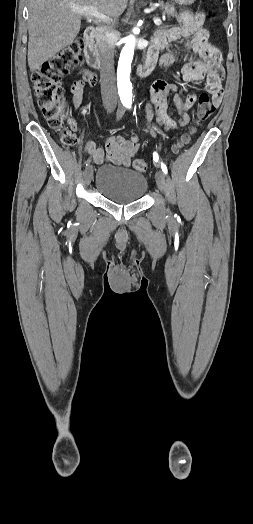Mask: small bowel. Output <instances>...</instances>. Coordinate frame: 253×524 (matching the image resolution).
<instances>
[{
    "mask_svg": "<svg viewBox=\"0 0 253 524\" xmlns=\"http://www.w3.org/2000/svg\"><path fill=\"white\" fill-rule=\"evenodd\" d=\"M205 15L196 14L185 15L180 20L179 26H173L159 30L153 37V44L148 50L147 62L153 65L166 67L171 65L176 59V53L163 52L171 43H182L186 39V48L200 57L198 61H190L182 65L180 74L186 82H198L205 80L206 91L211 95L213 103L218 105L221 102L223 90L222 79L224 71L221 65V52L211 43L209 32L204 27ZM176 87L169 84L164 79H157L150 89V100L145 107L146 127L144 134L151 133L156 136L160 131L169 129H179L190 123L191 117L188 110L197 101L195 93H189L186 97L175 93ZM175 93L173 102L179 114V120L172 118L169 112V96ZM73 95V103L76 108H80L83 96ZM106 153L102 148L89 141L85 144V151L88 155H94L93 160L97 164L106 162L115 165L129 167L132 158L140 150L139 137L133 136L125 138L123 136H109L105 139Z\"/></svg>",
    "mask_w": 253,
    "mask_h": 524,
    "instance_id": "obj_1",
    "label": "small bowel"
}]
</instances>
